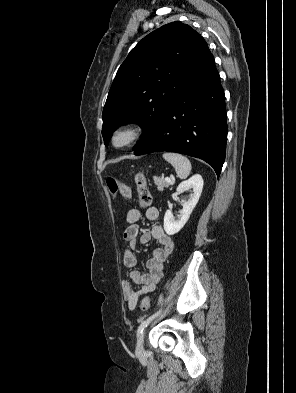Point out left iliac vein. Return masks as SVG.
I'll list each match as a JSON object with an SVG mask.
<instances>
[{"label": "left iliac vein", "mask_w": 296, "mask_h": 393, "mask_svg": "<svg viewBox=\"0 0 296 393\" xmlns=\"http://www.w3.org/2000/svg\"><path fill=\"white\" fill-rule=\"evenodd\" d=\"M143 341H144V333H141V335L137 340V346H136V354L138 356H142L144 354Z\"/></svg>", "instance_id": "obj_1"}]
</instances>
